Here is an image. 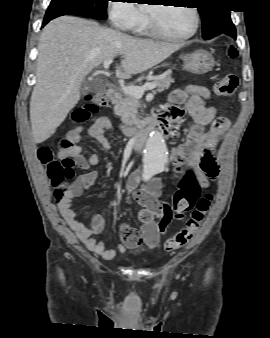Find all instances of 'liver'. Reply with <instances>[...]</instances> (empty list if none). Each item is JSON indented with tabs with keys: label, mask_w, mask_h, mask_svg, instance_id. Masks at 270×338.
Masks as SVG:
<instances>
[{
	"label": "liver",
	"mask_w": 270,
	"mask_h": 338,
	"mask_svg": "<svg viewBox=\"0 0 270 338\" xmlns=\"http://www.w3.org/2000/svg\"><path fill=\"white\" fill-rule=\"evenodd\" d=\"M182 46L131 37L77 17L54 19L42 30L38 44L37 83L30 100L35 143L55 133L78 103L83 79L105 60L123 55L116 75L129 78L158 65Z\"/></svg>",
	"instance_id": "1"
}]
</instances>
